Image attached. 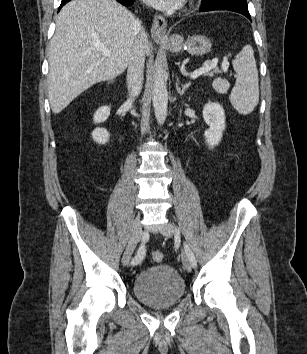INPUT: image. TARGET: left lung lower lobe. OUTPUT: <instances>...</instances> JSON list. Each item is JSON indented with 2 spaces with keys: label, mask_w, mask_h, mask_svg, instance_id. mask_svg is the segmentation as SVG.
Segmentation results:
<instances>
[{
  "label": "left lung lower lobe",
  "mask_w": 307,
  "mask_h": 354,
  "mask_svg": "<svg viewBox=\"0 0 307 354\" xmlns=\"http://www.w3.org/2000/svg\"><path fill=\"white\" fill-rule=\"evenodd\" d=\"M229 10L238 12L251 20L246 1L211 2L202 4L200 11Z\"/></svg>",
  "instance_id": "0a47b994"
}]
</instances>
